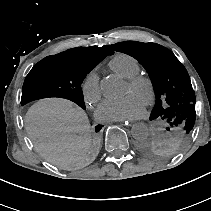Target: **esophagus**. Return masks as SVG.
I'll return each instance as SVG.
<instances>
[{"instance_id":"34e87169","label":"esophagus","mask_w":211,"mask_h":211,"mask_svg":"<svg viewBox=\"0 0 211 211\" xmlns=\"http://www.w3.org/2000/svg\"><path fill=\"white\" fill-rule=\"evenodd\" d=\"M116 122L117 127H131L132 121L131 120H117Z\"/></svg>"}]
</instances>
